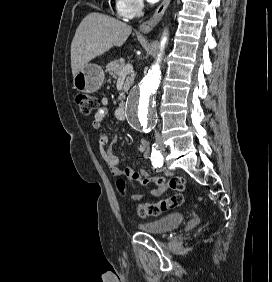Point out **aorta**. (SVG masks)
<instances>
[{
  "label": "aorta",
  "mask_w": 272,
  "mask_h": 282,
  "mask_svg": "<svg viewBox=\"0 0 272 282\" xmlns=\"http://www.w3.org/2000/svg\"><path fill=\"white\" fill-rule=\"evenodd\" d=\"M167 37L162 38L161 53L157 62L152 66L147 75L130 92L127 100V115L131 125L148 133L156 121L155 94L160 85V61Z\"/></svg>",
  "instance_id": "aorta-1"
}]
</instances>
